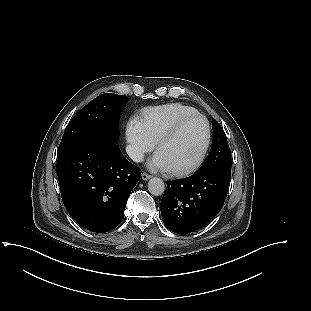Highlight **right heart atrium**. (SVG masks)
<instances>
[{"mask_svg": "<svg viewBox=\"0 0 311 311\" xmlns=\"http://www.w3.org/2000/svg\"><path fill=\"white\" fill-rule=\"evenodd\" d=\"M128 152L135 161H141L144 155L154 148V142L148 136L140 119L131 117L125 128Z\"/></svg>", "mask_w": 311, "mask_h": 311, "instance_id": "obj_1", "label": "right heart atrium"}]
</instances>
